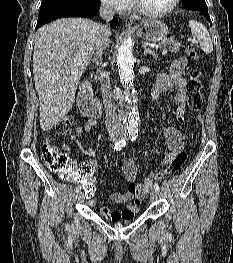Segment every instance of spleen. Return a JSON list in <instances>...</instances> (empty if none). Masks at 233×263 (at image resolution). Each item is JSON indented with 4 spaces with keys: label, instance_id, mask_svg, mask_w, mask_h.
<instances>
[{
    "label": "spleen",
    "instance_id": "spleen-1",
    "mask_svg": "<svg viewBox=\"0 0 233 263\" xmlns=\"http://www.w3.org/2000/svg\"><path fill=\"white\" fill-rule=\"evenodd\" d=\"M189 27L195 38L199 41L202 51L206 54L212 53L213 45L206 27L195 20H189Z\"/></svg>",
    "mask_w": 233,
    "mask_h": 263
}]
</instances>
